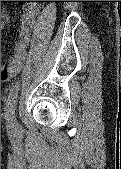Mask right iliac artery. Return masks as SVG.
I'll list each match as a JSON object with an SVG mask.
<instances>
[{
	"label": "right iliac artery",
	"mask_w": 121,
	"mask_h": 169,
	"mask_svg": "<svg viewBox=\"0 0 121 169\" xmlns=\"http://www.w3.org/2000/svg\"><path fill=\"white\" fill-rule=\"evenodd\" d=\"M18 92V84H15L9 92L6 107H5V118L8 123V127L12 128L15 126V104Z\"/></svg>",
	"instance_id": "right-iliac-artery-1"
}]
</instances>
